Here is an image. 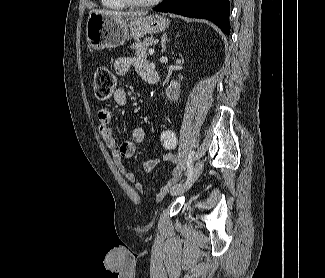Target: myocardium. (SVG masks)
Here are the masks:
<instances>
[{
	"label": "myocardium",
	"mask_w": 325,
	"mask_h": 278,
	"mask_svg": "<svg viewBox=\"0 0 325 278\" xmlns=\"http://www.w3.org/2000/svg\"><path fill=\"white\" fill-rule=\"evenodd\" d=\"M131 7H148L159 3L161 0H122Z\"/></svg>",
	"instance_id": "obj_1"
}]
</instances>
